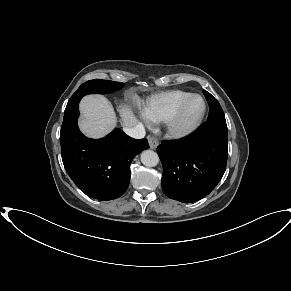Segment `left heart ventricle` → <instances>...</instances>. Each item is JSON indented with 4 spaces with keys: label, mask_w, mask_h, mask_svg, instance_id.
Segmentation results:
<instances>
[{
    "label": "left heart ventricle",
    "mask_w": 291,
    "mask_h": 291,
    "mask_svg": "<svg viewBox=\"0 0 291 291\" xmlns=\"http://www.w3.org/2000/svg\"><path fill=\"white\" fill-rule=\"evenodd\" d=\"M201 110H202V101L199 98L193 99L187 106L182 116L181 123L183 125H188L192 123L199 116Z\"/></svg>",
    "instance_id": "left-heart-ventricle-1"
}]
</instances>
